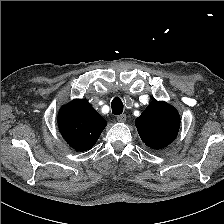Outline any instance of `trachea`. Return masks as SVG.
<instances>
[{
    "mask_svg": "<svg viewBox=\"0 0 224 224\" xmlns=\"http://www.w3.org/2000/svg\"><path fill=\"white\" fill-rule=\"evenodd\" d=\"M112 113L114 115H120L123 112V102L119 97H115L111 103Z\"/></svg>",
    "mask_w": 224,
    "mask_h": 224,
    "instance_id": "obj_1",
    "label": "trachea"
}]
</instances>
